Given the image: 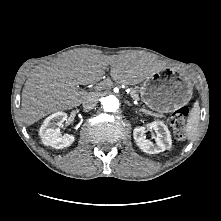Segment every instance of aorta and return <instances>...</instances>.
<instances>
[{
	"label": "aorta",
	"mask_w": 221,
	"mask_h": 221,
	"mask_svg": "<svg viewBox=\"0 0 221 221\" xmlns=\"http://www.w3.org/2000/svg\"><path fill=\"white\" fill-rule=\"evenodd\" d=\"M103 109L106 112H115L119 108V100L114 95L105 97L102 101Z\"/></svg>",
	"instance_id": "aorta-1"
}]
</instances>
